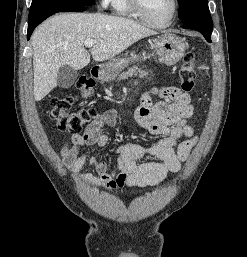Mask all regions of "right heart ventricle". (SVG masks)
Here are the masks:
<instances>
[{
  "instance_id": "right-heart-ventricle-1",
  "label": "right heart ventricle",
  "mask_w": 247,
  "mask_h": 257,
  "mask_svg": "<svg viewBox=\"0 0 247 257\" xmlns=\"http://www.w3.org/2000/svg\"><path fill=\"white\" fill-rule=\"evenodd\" d=\"M112 10L117 15L136 17L128 0H111Z\"/></svg>"
}]
</instances>
